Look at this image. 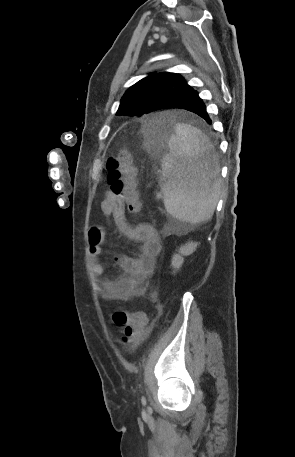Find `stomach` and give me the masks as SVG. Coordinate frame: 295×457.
Here are the masks:
<instances>
[{
    "mask_svg": "<svg viewBox=\"0 0 295 457\" xmlns=\"http://www.w3.org/2000/svg\"><path fill=\"white\" fill-rule=\"evenodd\" d=\"M163 124V123H161ZM166 127L156 132L152 130L151 125L145 127L146 139L149 141H156L161 144L163 151H169V139L175 134L173 127L170 124L164 123Z\"/></svg>",
    "mask_w": 295,
    "mask_h": 457,
    "instance_id": "obj_1",
    "label": "stomach"
}]
</instances>
